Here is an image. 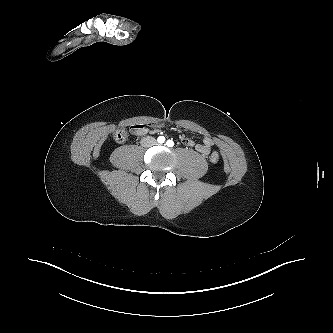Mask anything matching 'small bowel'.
<instances>
[{
  "instance_id": "small-bowel-1",
  "label": "small bowel",
  "mask_w": 333,
  "mask_h": 333,
  "mask_svg": "<svg viewBox=\"0 0 333 333\" xmlns=\"http://www.w3.org/2000/svg\"><path fill=\"white\" fill-rule=\"evenodd\" d=\"M154 126L158 124L154 123ZM131 133L135 136H142L147 133V127L144 124L131 126ZM183 144L187 147H195V149L202 155H208L211 152L212 148V140L208 137H205L201 144H195V142L190 138H184Z\"/></svg>"
}]
</instances>
